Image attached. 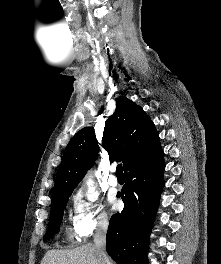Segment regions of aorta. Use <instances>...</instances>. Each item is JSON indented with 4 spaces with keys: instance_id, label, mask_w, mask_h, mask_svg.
<instances>
[{
    "instance_id": "obj_1",
    "label": "aorta",
    "mask_w": 221,
    "mask_h": 264,
    "mask_svg": "<svg viewBox=\"0 0 221 264\" xmlns=\"http://www.w3.org/2000/svg\"><path fill=\"white\" fill-rule=\"evenodd\" d=\"M93 183L94 182L92 179H88L87 185L89 186V193H91L93 191ZM89 197H91V195Z\"/></svg>"
}]
</instances>
